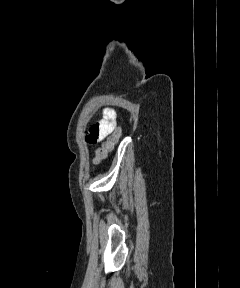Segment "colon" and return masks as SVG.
Listing matches in <instances>:
<instances>
[{
    "label": "colon",
    "instance_id": "5ec220e1",
    "mask_svg": "<svg viewBox=\"0 0 240 288\" xmlns=\"http://www.w3.org/2000/svg\"><path fill=\"white\" fill-rule=\"evenodd\" d=\"M110 146H111V142H109L103 148H101L97 151L96 162H99L101 159H103L105 157L106 152Z\"/></svg>",
    "mask_w": 240,
    "mask_h": 288
}]
</instances>
